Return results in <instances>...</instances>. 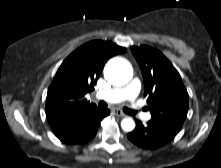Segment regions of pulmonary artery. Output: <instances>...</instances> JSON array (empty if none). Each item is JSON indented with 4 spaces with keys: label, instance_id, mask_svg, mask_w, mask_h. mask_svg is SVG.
<instances>
[{
    "label": "pulmonary artery",
    "instance_id": "obj_1",
    "mask_svg": "<svg viewBox=\"0 0 221 168\" xmlns=\"http://www.w3.org/2000/svg\"><path fill=\"white\" fill-rule=\"evenodd\" d=\"M141 88V83L138 78H134L128 85L124 87H115L108 90H104L97 93V98L105 100L110 103H119L124 100H129L132 102L131 109L144 120H149L151 115L149 113L143 112L140 107L133 103L137 97Z\"/></svg>",
    "mask_w": 221,
    "mask_h": 168
}]
</instances>
